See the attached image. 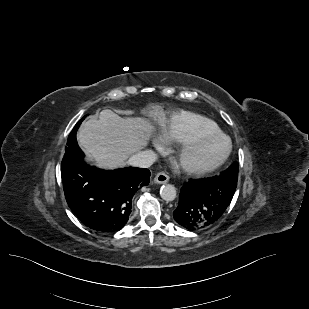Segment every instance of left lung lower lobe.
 <instances>
[{
    "label": "left lung lower lobe",
    "mask_w": 309,
    "mask_h": 309,
    "mask_svg": "<svg viewBox=\"0 0 309 309\" xmlns=\"http://www.w3.org/2000/svg\"><path fill=\"white\" fill-rule=\"evenodd\" d=\"M236 187L237 179L224 174L184 183L173 213L175 221L192 231L215 224L229 206Z\"/></svg>",
    "instance_id": "obj_1"
}]
</instances>
